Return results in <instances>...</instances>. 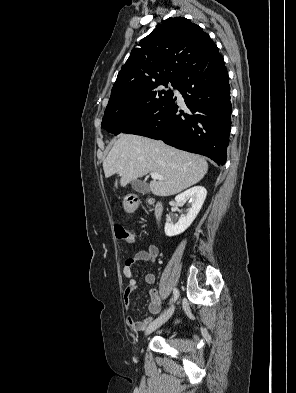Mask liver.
Returning a JSON list of instances; mask_svg holds the SVG:
<instances>
[{"label": "liver", "instance_id": "obj_1", "mask_svg": "<svg viewBox=\"0 0 296 393\" xmlns=\"http://www.w3.org/2000/svg\"><path fill=\"white\" fill-rule=\"evenodd\" d=\"M105 177L118 174L121 186L149 172L163 180L149 184L156 196H171L198 183L208 171L207 161L192 153L170 147L162 141L121 134L103 162Z\"/></svg>", "mask_w": 296, "mask_h": 393}]
</instances>
